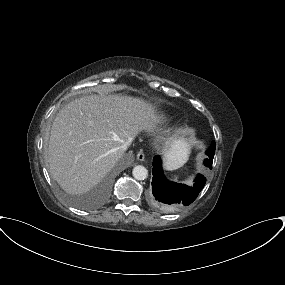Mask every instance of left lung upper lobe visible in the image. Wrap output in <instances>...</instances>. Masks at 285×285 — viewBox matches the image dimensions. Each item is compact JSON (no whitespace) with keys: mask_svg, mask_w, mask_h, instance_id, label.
I'll use <instances>...</instances> for the list:
<instances>
[{"mask_svg":"<svg viewBox=\"0 0 285 285\" xmlns=\"http://www.w3.org/2000/svg\"><path fill=\"white\" fill-rule=\"evenodd\" d=\"M208 158L205 159L204 164L206 166H212V161L214 158V144H211V147L206 151Z\"/></svg>","mask_w":285,"mask_h":285,"instance_id":"left-lung-upper-lobe-1","label":"left lung upper lobe"}]
</instances>
